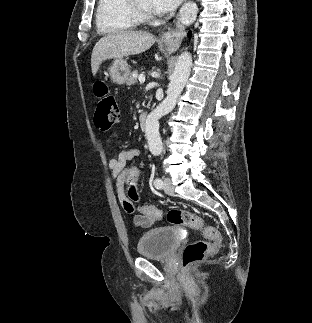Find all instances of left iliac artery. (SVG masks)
<instances>
[{
  "instance_id": "obj_1",
  "label": "left iliac artery",
  "mask_w": 312,
  "mask_h": 323,
  "mask_svg": "<svg viewBox=\"0 0 312 323\" xmlns=\"http://www.w3.org/2000/svg\"><path fill=\"white\" fill-rule=\"evenodd\" d=\"M153 183L157 189H161L163 187V181L160 178H155Z\"/></svg>"
}]
</instances>
